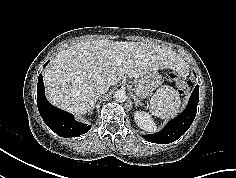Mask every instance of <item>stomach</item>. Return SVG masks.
Listing matches in <instances>:
<instances>
[{
    "label": "stomach",
    "instance_id": "0dacf381",
    "mask_svg": "<svg viewBox=\"0 0 236 178\" xmlns=\"http://www.w3.org/2000/svg\"><path fill=\"white\" fill-rule=\"evenodd\" d=\"M161 75L157 71L150 72L136 79L135 93L143 99L151 95L161 84Z\"/></svg>",
    "mask_w": 236,
    "mask_h": 178
}]
</instances>
